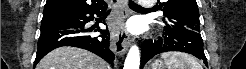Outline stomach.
Listing matches in <instances>:
<instances>
[{
    "instance_id": "obj_1",
    "label": "stomach",
    "mask_w": 246,
    "mask_h": 69,
    "mask_svg": "<svg viewBox=\"0 0 246 69\" xmlns=\"http://www.w3.org/2000/svg\"><path fill=\"white\" fill-rule=\"evenodd\" d=\"M152 69H165L164 68V64L161 60H156L153 64H152Z\"/></svg>"
}]
</instances>
